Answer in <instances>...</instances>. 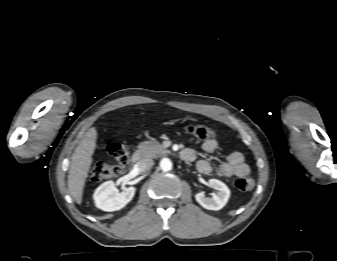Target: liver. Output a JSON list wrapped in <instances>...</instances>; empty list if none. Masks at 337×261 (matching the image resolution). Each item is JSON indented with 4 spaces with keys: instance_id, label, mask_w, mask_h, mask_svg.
I'll list each match as a JSON object with an SVG mask.
<instances>
[{
    "instance_id": "6515ba94",
    "label": "liver",
    "mask_w": 337,
    "mask_h": 261,
    "mask_svg": "<svg viewBox=\"0 0 337 261\" xmlns=\"http://www.w3.org/2000/svg\"><path fill=\"white\" fill-rule=\"evenodd\" d=\"M96 141L97 130L92 127L86 132L71 158L68 189L77 204L82 203L84 186L93 162L92 156L96 148Z\"/></svg>"
}]
</instances>
